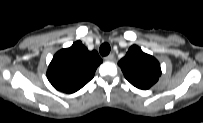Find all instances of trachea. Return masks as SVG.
<instances>
[{
	"instance_id": "obj_1",
	"label": "trachea",
	"mask_w": 203,
	"mask_h": 123,
	"mask_svg": "<svg viewBox=\"0 0 203 123\" xmlns=\"http://www.w3.org/2000/svg\"><path fill=\"white\" fill-rule=\"evenodd\" d=\"M110 50H111V47L108 43H103L101 46H100V54L102 56H106L110 53Z\"/></svg>"
}]
</instances>
